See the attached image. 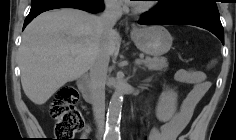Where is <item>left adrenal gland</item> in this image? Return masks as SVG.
Masks as SVG:
<instances>
[{
    "instance_id": "obj_1",
    "label": "left adrenal gland",
    "mask_w": 236,
    "mask_h": 140,
    "mask_svg": "<svg viewBox=\"0 0 236 140\" xmlns=\"http://www.w3.org/2000/svg\"><path fill=\"white\" fill-rule=\"evenodd\" d=\"M133 72H134V73L136 72V67H134Z\"/></svg>"
}]
</instances>
